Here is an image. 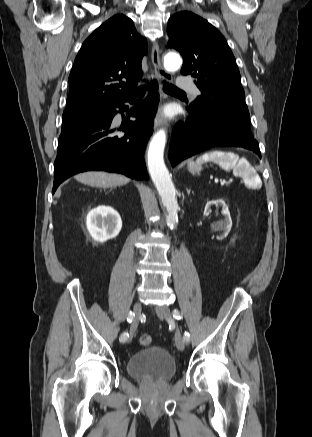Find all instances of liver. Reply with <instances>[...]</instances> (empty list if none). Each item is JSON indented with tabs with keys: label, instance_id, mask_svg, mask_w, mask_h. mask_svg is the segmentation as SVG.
<instances>
[{
	"label": "liver",
	"instance_id": "1",
	"mask_svg": "<svg viewBox=\"0 0 312 437\" xmlns=\"http://www.w3.org/2000/svg\"><path fill=\"white\" fill-rule=\"evenodd\" d=\"M75 179L85 185L98 188H110L127 184L130 179L121 174L107 172H85Z\"/></svg>",
	"mask_w": 312,
	"mask_h": 437
}]
</instances>
